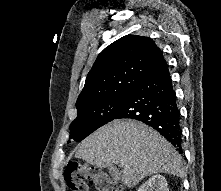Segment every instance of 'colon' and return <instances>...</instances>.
Returning <instances> with one entry per match:
<instances>
[{"label": "colon", "mask_w": 221, "mask_h": 191, "mask_svg": "<svg viewBox=\"0 0 221 191\" xmlns=\"http://www.w3.org/2000/svg\"><path fill=\"white\" fill-rule=\"evenodd\" d=\"M64 178L71 191H89V183H93L98 191H123L121 183L108 173L77 162L66 166Z\"/></svg>", "instance_id": "obj_1"}]
</instances>
